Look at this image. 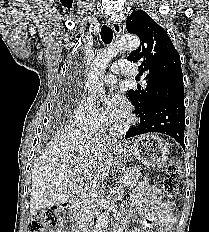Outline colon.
Masks as SVG:
<instances>
[{"mask_svg":"<svg viewBox=\"0 0 209 232\" xmlns=\"http://www.w3.org/2000/svg\"><path fill=\"white\" fill-rule=\"evenodd\" d=\"M182 187V174L178 162L172 161L167 165L163 177V189L169 199L179 196ZM59 221V211L56 207H47L34 212L29 222V232H51Z\"/></svg>","mask_w":209,"mask_h":232,"instance_id":"5ec220e1","label":"colon"}]
</instances>
